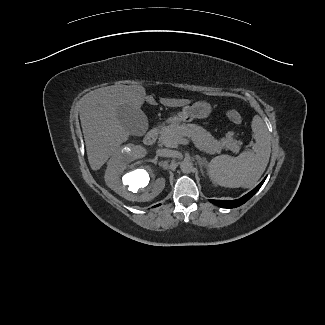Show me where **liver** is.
Returning a JSON list of instances; mask_svg holds the SVG:
<instances>
[{"label": "liver", "instance_id": "liver-1", "mask_svg": "<svg viewBox=\"0 0 325 325\" xmlns=\"http://www.w3.org/2000/svg\"><path fill=\"white\" fill-rule=\"evenodd\" d=\"M155 104L153 97H147L141 85L106 86L87 93L80 107V120L86 144L87 157L92 170H99L117 153L120 145L128 140L130 133L118 119V109L129 105L140 109L144 101ZM168 107H181L189 99L161 98ZM138 157L145 155V149L132 146Z\"/></svg>", "mask_w": 325, "mask_h": 325}]
</instances>
